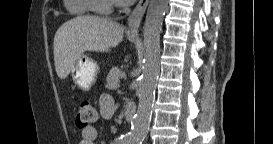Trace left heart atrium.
I'll return each instance as SVG.
<instances>
[{
  "instance_id": "39dd6f15",
  "label": "left heart atrium",
  "mask_w": 273,
  "mask_h": 144,
  "mask_svg": "<svg viewBox=\"0 0 273 144\" xmlns=\"http://www.w3.org/2000/svg\"><path fill=\"white\" fill-rule=\"evenodd\" d=\"M112 3L121 6H127L134 2V0H111Z\"/></svg>"
}]
</instances>
